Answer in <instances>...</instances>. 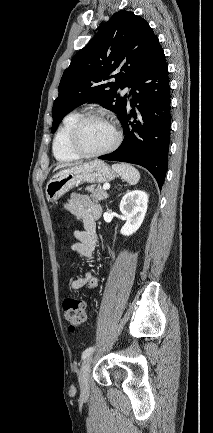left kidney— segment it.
<instances>
[{"label":"left kidney","mask_w":213,"mask_h":433,"mask_svg":"<svg viewBox=\"0 0 213 433\" xmlns=\"http://www.w3.org/2000/svg\"><path fill=\"white\" fill-rule=\"evenodd\" d=\"M148 207V195L141 190L128 192L120 202V211L126 218L121 234L130 236L141 226Z\"/></svg>","instance_id":"5707ae66"}]
</instances>
